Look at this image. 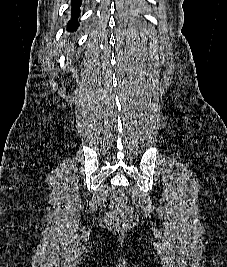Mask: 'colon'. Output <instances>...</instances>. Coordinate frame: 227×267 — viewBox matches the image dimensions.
Returning <instances> with one entry per match:
<instances>
[{"instance_id":"obj_1","label":"colon","mask_w":227,"mask_h":267,"mask_svg":"<svg viewBox=\"0 0 227 267\" xmlns=\"http://www.w3.org/2000/svg\"><path fill=\"white\" fill-rule=\"evenodd\" d=\"M138 223V215L127 205V198L122 191H115L111 196L110 211L106 216V225L114 233H124Z\"/></svg>"}]
</instances>
